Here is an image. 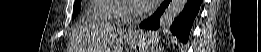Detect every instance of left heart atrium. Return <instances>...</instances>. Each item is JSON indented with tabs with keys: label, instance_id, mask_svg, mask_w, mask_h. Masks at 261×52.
Instances as JSON below:
<instances>
[{
	"label": "left heart atrium",
	"instance_id": "obj_1",
	"mask_svg": "<svg viewBox=\"0 0 261 52\" xmlns=\"http://www.w3.org/2000/svg\"><path fill=\"white\" fill-rule=\"evenodd\" d=\"M137 8L141 10H147L154 7L159 1L158 0H134L133 1Z\"/></svg>",
	"mask_w": 261,
	"mask_h": 52
}]
</instances>
